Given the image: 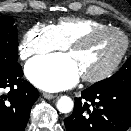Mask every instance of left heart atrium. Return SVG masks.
<instances>
[{"label": "left heart atrium", "mask_w": 131, "mask_h": 131, "mask_svg": "<svg viewBox=\"0 0 131 131\" xmlns=\"http://www.w3.org/2000/svg\"><path fill=\"white\" fill-rule=\"evenodd\" d=\"M26 76L36 86L47 91H59L76 84L80 71L70 54L61 53L30 60Z\"/></svg>", "instance_id": "39dd6f15"}]
</instances>
